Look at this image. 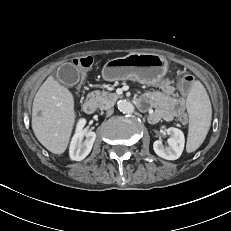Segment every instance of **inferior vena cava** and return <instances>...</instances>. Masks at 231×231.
Here are the masks:
<instances>
[{
	"label": "inferior vena cava",
	"mask_w": 231,
	"mask_h": 231,
	"mask_svg": "<svg viewBox=\"0 0 231 231\" xmlns=\"http://www.w3.org/2000/svg\"><path fill=\"white\" fill-rule=\"evenodd\" d=\"M112 113H113V109L110 108V109L107 110V115L108 116H110Z\"/></svg>",
	"instance_id": "602c4592"
}]
</instances>
